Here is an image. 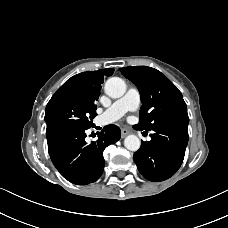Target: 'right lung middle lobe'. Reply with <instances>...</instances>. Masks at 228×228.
Instances as JSON below:
<instances>
[{"label": "right lung middle lobe", "mask_w": 228, "mask_h": 228, "mask_svg": "<svg viewBox=\"0 0 228 228\" xmlns=\"http://www.w3.org/2000/svg\"><path fill=\"white\" fill-rule=\"evenodd\" d=\"M96 105L82 100L73 91L59 88L46 106V136L71 128H90Z\"/></svg>", "instance_id": "1"}]
</instances>
